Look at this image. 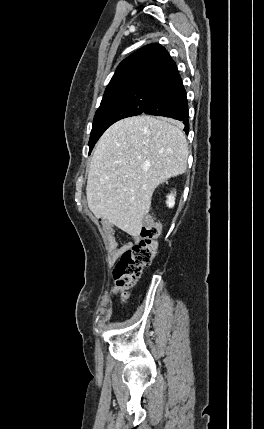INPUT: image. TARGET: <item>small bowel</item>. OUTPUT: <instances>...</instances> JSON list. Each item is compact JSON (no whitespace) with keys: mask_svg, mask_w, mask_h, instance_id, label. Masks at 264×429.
Listing matches in <instances>:
<instances>
[{"mask_svg":"<svg viewBox=\"0 0 264 429\" xmlns=\"http://www.w3.org/2000/svg\"><path fill=\"white\" fill-rule=\"evenodd\" d=\"M132 236V241L119 245L115 232L111 227H105L103 237L107 249L110 252V260L115 261L119 258L122 252L132 248L139 241L138 233L135 231L128 232Z\"/></svg>","mask_w":264,"mask_h":429,"instance_id":"1","label":"small bowel"}]
</instances>
